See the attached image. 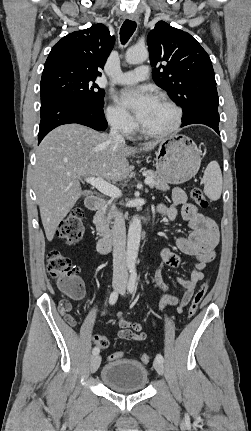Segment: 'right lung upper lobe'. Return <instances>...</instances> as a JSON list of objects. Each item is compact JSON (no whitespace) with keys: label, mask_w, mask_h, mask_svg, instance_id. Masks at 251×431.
I'll use <instances>...</instances> for the list:
<instances>
[{"label":"right lung upper lobe","mask_w":251,"mask_h":431,"mask_svg":"<svg viewBox=\"0 0 251 431\" xmlns=\"http://www.w3.org/2000/svg\"><path fill=\"white\" fill-rule=\"evenodd\" d=\"M114 43L115 37L101 23L75 31L53 46L44 68L65 65L94 77L100 76L98 69H103Z\"/></svg>","instance_id":"1"}]
</instances>
